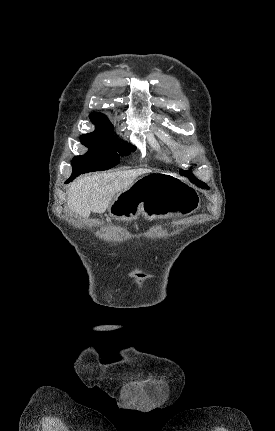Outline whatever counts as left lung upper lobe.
<instances>
[{"mask_svg": "<svg viewBox=\"0 0 275 431\" xmlns=\"http://www.w3.org/2000/svg\"><path fill=\"white\" fill-rule=\"evenodd\" d=\"M180 174H182L183 176H187L188 178H195V177H194V175H193L192 173L187 172V171H184V170H181V171H180ZM195 179H196V178H195Z\"/></svg>", "mask_w": 275, "mask_h": 431, "instance_id": "1", "label": "left lung upper lobe"}]
</instances>
